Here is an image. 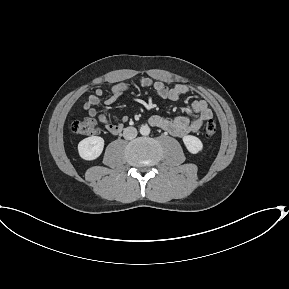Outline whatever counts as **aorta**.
I'll list each match as a JSON object with an SVG mask.
<instances>
[{"mask_svg":"<svg viewBox=\"0 0 289 289\" xmlns=\"http://www.w3.org/2000/svg\"><path fill=\"white\" fill-rule=\"evenodd\" d=\"M149 133H150V128H149L148 125H142V126L140 127V134H141V135L147 136V135H149Z\"/></svg>","mask_w":289,"mask_h":289,"instance_id":"obj_1","label":"aorta"}]
</instances>
